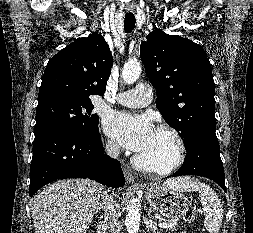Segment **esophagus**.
Here are the masks:
<instances>
[{
	"mask_svg": "<svg viewBox=\"0 0 253 233\" xmlns=\"http://www.w3.org/2000/svg\"><path fill=\"white\" fill-rule=\"evenodd\" d=\"M123 173L128 184L136 185L133 174L126 166L123 167Z\"/></svg>",
	"mask_w": 253,
	"mask_h": 233,
	"instance_id": "34e87169",
	"label": "esophagus"
}]
</instances>
